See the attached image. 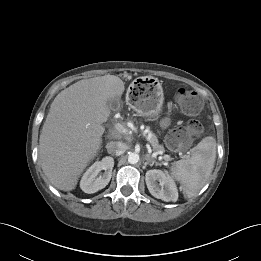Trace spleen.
I'll use <instances>...</instances> for the list:
<instances>
[{
    "mask_svg": "<svg viewBox=\"0 0 261 261\" xmlns=\"http://www.w3.org/2000/svg\"><path fill=\"white\" fill-rule=\"evenodd\" d=\"M216 158V140L205 137L191 150V157L175 162L171 167L173 177L188 198L195 196L211 175Z\"/></svg>",
    "mask_w": 261,
    "mask_h": 261,
    "instance_id": "obj_1",
    "label": "spleen"
}]
</instances>
